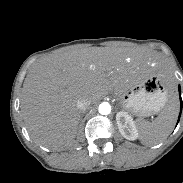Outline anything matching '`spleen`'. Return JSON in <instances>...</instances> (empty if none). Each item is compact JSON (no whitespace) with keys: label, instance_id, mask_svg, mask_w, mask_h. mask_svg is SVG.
Wrapping results in <instances>:
<instances>
[{"label":"spleen","instance_id":"spleen-1","mask_svg":"<svg viewBox=\"0 0 183 183\" xmlns=\"http://www.w3.org/2000/svg\"><path fill=\"white\" fill-rule=\"evenodd\" d=\"M177 116L178 102L172 98L152 123L138 120L141 143L146 146L161 143L172 132Z\"/></svg>","mask_w":183,"mask_h":183}]
</instances>
